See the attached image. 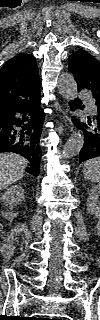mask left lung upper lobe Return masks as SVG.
<instances>
[{"label":"left lung upper lobe","mask_w":100,"mask_h":320,"mask_svg":"<svg viewBox=\"0 0 100 320\" xmlns=\"http://www.w3.org/2000/svg\"><path fill=\"white\" fill-rule=\"evenodd\" d=\"M69 71L74 74L79 89H88L100 102V62L84 50L69 56Z\"/></svg>","instance_id":"left-lung-upper-lobe-1"}]
</instances>
